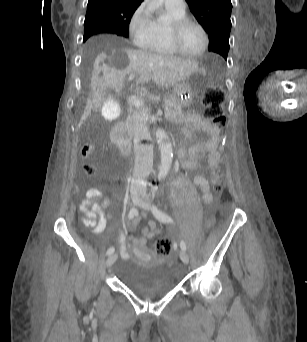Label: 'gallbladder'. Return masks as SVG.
<instances>
[{
  "label": "gallbladder",
  "instance_id": "1",
  "mask_svg": "<svg viewBox=\"0 0 307 342\" xmlns=\"http://www.w3.org/2000/svg\"><path fill=\"white\" fill-rule=\"evenodd\" d=\"M103 108L105 109L104 118H118L121 105L117 99H106Z\"/></svg>",
  "mask_w": 307,
  "mask_h": 342
}]
</instances>
